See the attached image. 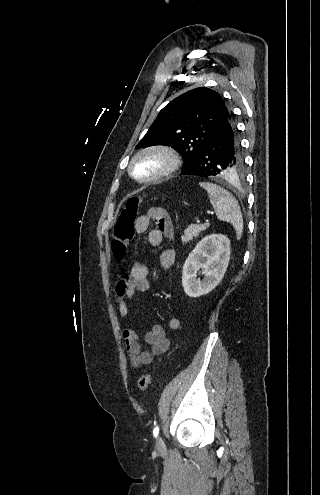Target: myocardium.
Listing matches in <instances>:
<instances>
[{"label":"myocardium","mask_w":320,"mask_h":495,"mask_svg":"<svg viewBox=\"0 0 320 495\" xmlns=\"http://www.w3.org/2000/svg\"><path fill=\"white\" fill-rule=\"evenodd\" d=\"M145 157H158L162 160L163 165L159 171L153 175L142 177L135 173V164ZM180 160L178 154L174 149L164 145H153L140 149L131 158L128 171L133 179L140 183L150 184L160 181L170 175H172L179 167Z\"/></svg>","instance_id":"1"}]
</instances>
